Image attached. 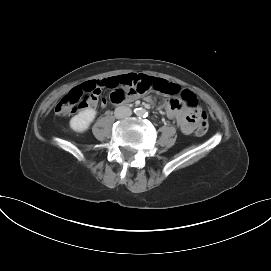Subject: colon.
I'll return each instance as SVG.
<instances>
[{"label":"colon","instance_id":"5ec220e1","mask_svg":"<svg viewBox=\"0 0 271 271\" xmlns=\"http://www.w3.org/2000/svg\"><path fill=\"white\" fill-rule=\"evenodd\" d=\"M117 90V89H116ZM97 94L96 88L89 84L86 88L77 86L66 94L55 106V112L61 115H68L78 109L87 106L88 99ZM182 97L186 104L190 107L196 108L198 106L197 99L194 95L187 92L182 93ZM196 134L204 135L208 130L207 116L204 112L198 111L195 115Z\"/></svg>","mask_w":271,"mask_h":271}]
</instances>
